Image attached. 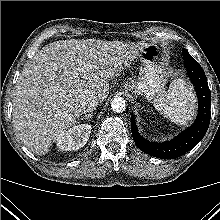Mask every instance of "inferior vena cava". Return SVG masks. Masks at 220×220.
<instances>
[{
    "label": "inferior vena cava",
    "mask_w": 220,
    "mask_h": 220,
    "mask_svg": "<svg viewBox=\"0 0 220 220\" xmlns=\"http://www.w3.org/2000/svg\"><path fill=\"white\" fill-rule=\"evenodd\" d=\"M100 102V99L96 96H92L87 98L83 102H81L80 110L83 113L92 112L95 110Z\"/></svg>",
    "instance_id": "1"
}]
</instances>
